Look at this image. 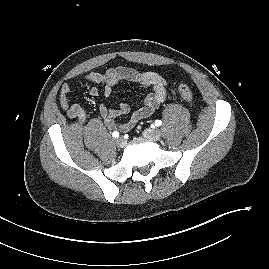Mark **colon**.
Returning a JSON list of instances; mask_svg holds the SVG:
<instances>
[{
    "mask_svg": "<svg viewBox=\"0 0 269 269\" xmlns=\"http://www.w3.org/2000/svg\"><path fill=\"white\" fill-rule=\"evenodd\" d=\"M178 92L181 96V98L188 104L191 105L193 102V94L192 91L190 89V87L184 83L181 82L178 86Z\"/></svg>",
    "mask_w": 269,
    "mask_h": 269,
    "instance_id": "colon-1",
    "label": "colon"
}]
</instances>
